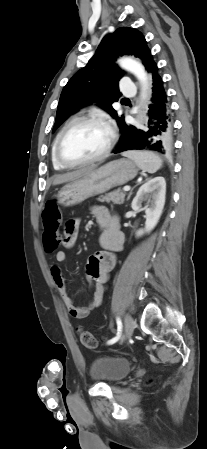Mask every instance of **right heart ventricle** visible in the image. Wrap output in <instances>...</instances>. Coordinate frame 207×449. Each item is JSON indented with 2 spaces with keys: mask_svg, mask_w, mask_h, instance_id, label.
I'll use <instances>...</instances> for the list:
<instances>
[{
  "mask_svg": "<svg viewBox=\"0 0 207 449\" xmlns=\"http://www.w3.org/2000/svg\"><path fill=\"white\" fill-rule=\"evenodd\" d=\"M58 135H59V133H58ZM58 135L56 136V138L54 139L53 144H52L51 161H52V165H53L54 169L63 170V169H65V167H63L62 165L59 164V162L57 161L56 156H55V144H56Z\"/></svg>",
  "mask_w": 207,
  "mask_h": 449,
  "instance_id": "e07e8e85",
  "label": "right heart ventricle"
}]
</instances>
